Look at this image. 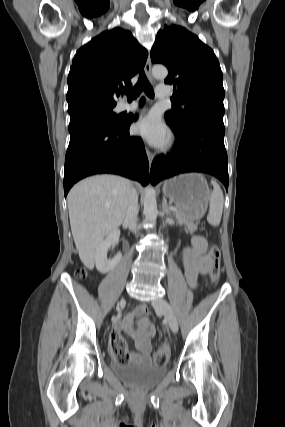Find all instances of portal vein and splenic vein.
<instances>
[{
	"label": "portal vein and splenic vein",
	"mask_w": 285,
	"mask_h": 427,
	"mask_svg": "<svg viewBox=\"0 0 285 427\" xmlns=\"http://www.w3.org/2000/svg\"><path fill=\"white\" fill-rule=\"evenodd\" d=\"M170 210H172V211H177L175 208H173V207H170Z\"/></svg>",
	"instance_id": "portal-vein-and-splenic-vein-1"
}]
</instances>
